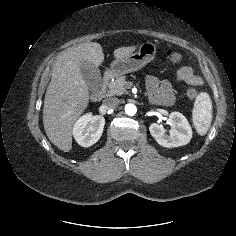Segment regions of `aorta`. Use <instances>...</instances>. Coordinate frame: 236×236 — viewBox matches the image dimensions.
Segmentation results:
<instances>
[{"mask_svg":"<svg viewBox=\"0 0 236 236\" xmlns=\"http://www.w3.org/2000/svg\"><path fill=\"white\" fill-rule=\"evenodd\" d=\"M137 112V108L134 104L129 103L125 105V113L129 116L135 115Z\"/></svg>","mask_w":236,"mask_h":236,"instance_id":"762f6f07","label":"aorta"}]
</instances>
